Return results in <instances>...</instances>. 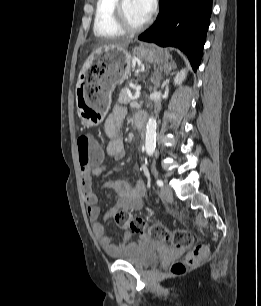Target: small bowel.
Masks as SVG:
<instances>
[{
  "label": "small bowel",
  "instance_id": "small-bowel-1",
  "mask_svg": "<svg viewBox=\"0 0 261 306\" xmlns=\"http://www.w3.org/2000/svg\"><path fill=\"white\" fill-rule=\"evenodd\" d=\"M127 115L126 107L116 105L113 107L109 116L104 123V132L108 137V143L105 148V155L121 160L125 156V149L121 137V126ZM106 169L102 159L97 162L85 166L81 170V184L83 188L84 199L87 207L89 219L93 222V231L101 246L109 253L120 254L121 252L130 249L133 245L117 244L113 239L105 234V229L102 223L98 222L100 217V208L98 206V197L93 190L92 179L98 176ZM106 189L114 190L119 196L117 205L110 210L105 218L113 216L114 212L119 209L140 210L143 207V197L145 187L140 180L129 182L118 180L114 182H106Z\"/></svg>",
  "mask_w": 261,
  "mask_h": 306
}]
</instances>
